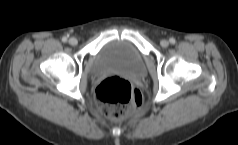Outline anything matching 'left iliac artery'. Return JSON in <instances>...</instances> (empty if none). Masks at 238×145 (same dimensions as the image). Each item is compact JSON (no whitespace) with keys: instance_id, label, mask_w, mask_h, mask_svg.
Masks as SVG:
<instances>
[{"instance_id":"obj_1","label":"left iliac artery","mask_w":238,"mask_h":145,"mask_svg":"<svg viewBox=\"0 0 238 145\" xmlns=\"http://www.w3.org/2000/svg\"><path fill=\"white\" fill-rule=\"evenodd\" d=\"M169 41H170L171 44H175L176 43V40L174 38H170Z\"/></svg>"}]
</instances>
